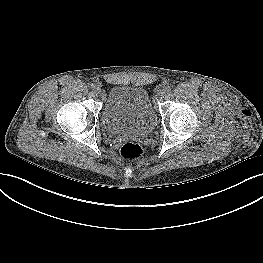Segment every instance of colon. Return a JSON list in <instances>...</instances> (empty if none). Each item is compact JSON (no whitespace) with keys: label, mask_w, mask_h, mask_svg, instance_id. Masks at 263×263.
I'll use <instances>...</instances> for the list:
<instances>
[{"label":"colon","mask_w":263,"mask_h":263,"mask_svg":"<svg viewBox=\"0 0 263 263\" xmlns=\"http://www.w3.org/2000/svg\"><path fill=\"white\" fill-rule=\"evenodd\" d=\"M120 154L124 159L135 160L142 155V148L134 142H126L120 149Z\"/></svg>","instance_id":"5ec220e1"}]
</instances>
